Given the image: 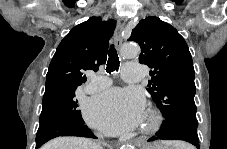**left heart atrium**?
Returning a JSON list of instances; mask_svg holds the SVG:
<instances>
[{"label": "left heart atrium", "instance_id": "1", "mask_svg": "<svg viewBox=\"0 0 227 149\" xmlns=\"http://www.w3.org/2000/svg\"><path fill=\"white\" fill-rule=\"evenodd\" d=\"M143 95L113 88L92 97L85 106L87 122L108 134H121L139 125L144 116Z\"/></svg>", "mask_w": 227, "mask_h": 149}]
</instances>
